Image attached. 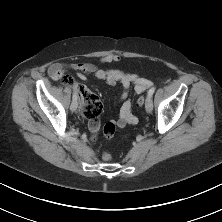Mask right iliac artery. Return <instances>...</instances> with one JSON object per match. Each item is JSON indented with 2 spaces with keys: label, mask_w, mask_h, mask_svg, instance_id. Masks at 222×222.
Returning a JSON list of instances; mask_svg holds the SVG:
<instances>
[{
  "label": "right iliac artery",
  "mask_w": 222,
  "mask_h": 222,
  "mask_svg": "<svg viewBox=\"0 0 222 222\" xmlns=\"http://www.w3.org/2000/svg\"><path fill=\"white\" fill-rule=\"evenodd\" d=\"M77 100V92H74L73 93V101H76Z\"/></svg>",
  "instance_id": "right-iliac-artery-1"
}]
</instances>
